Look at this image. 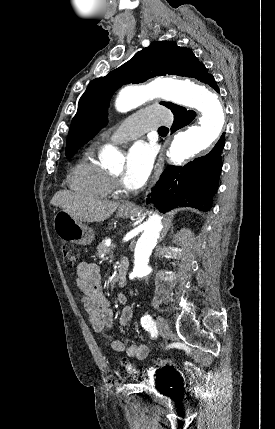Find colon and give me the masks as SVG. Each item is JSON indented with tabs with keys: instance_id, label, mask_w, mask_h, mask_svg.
Wrapping results in <instances>:
<instances>
[{
	"instance_id": "obj_1",
	"label": "colon",
	"mask_w": 275,
	"mask_h": 429,
	"mask_svg": "<svg viewBox=\"0 0 275 429\" xmlns=\"http://www.w3.org/2000/svg\"><path fill=\"white\" fill-rule=\"evenodd\" d=\"M63 261L66 267H73L79 259V250L71 243H65L62 246ZM172 367V360L169 358H159L156 361V370H168ZM128 371L134 373L132 365L126 364Z\"/></svg>"
}]
</instances>
